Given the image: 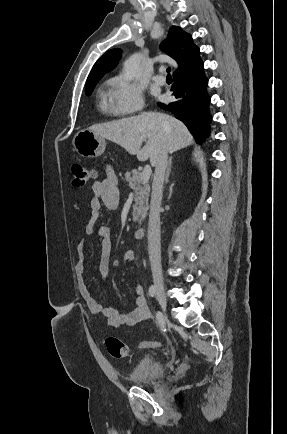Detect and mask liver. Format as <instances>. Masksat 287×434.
I'll return each instance as SVG.
<instances>
[{"label": "liver", "mask_w": 287, "mask_h": 434, "mask_svg": "<svg viewBox=\"0 0 287 434\" xmlns=\"http://www.w3.org/2000/svg\"><path fill=\"white\" fill-rule=\"evenodd\" d=\"M89 129L120 145L129 154L137 155L139 161L150 159L152 166H155L163 145L169 153H174L194 142L182 122L160 112H144L137 116L93 125ZM144 141L146 144L142 147Z\"/></svg>", "instance_id": "1"}]
</instances>
